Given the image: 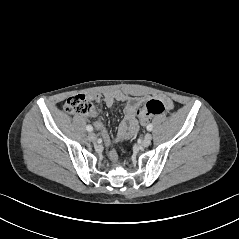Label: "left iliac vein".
I'll return each mask as SVG.
<instances>
[{
	"label": "left iliac vein",
	"mask_w": 239,
	"mask_h": 239,
	"mask_svg": "<svg viewBox=\"0 0 239 239\" xmlns=\"http://www.w3.org/2000/svg\"><path fill=\"white\" fill-rule=\"evenodd\" d=\"M152 140V135L151 134H146L145 137L143 138L141 145L143 147H148L151 143Z\"/></svg>",
	"instance_id": "1"
}]
</instances>
